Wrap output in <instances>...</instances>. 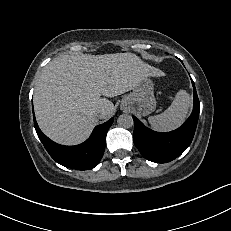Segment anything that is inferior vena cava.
Here are the masks:
<instances>
[{"label":"inferior vena cava","instance_id":"obj_1","mask_svg":"<svg viewBox=\"0 0 231 231\" xmlns=\"http://www.w3.org/2000/svg\"><path fill=\"white\" fill-rule=\"evenodd\" d=\"M102 112H103V109H99V110L97 111L98 114H101Z\"/></svg>","mask_w":231,"mask_h":231}]
</instances>
